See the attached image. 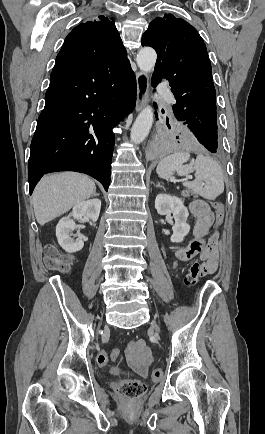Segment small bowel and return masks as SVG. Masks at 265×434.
<instances>
[{"label":"small bowel","instance_id":"1","mask_svg":"<svg viewBox=\"0 0 265 434\" xmlns=\"http://www.w3.org/2000/svg\"><path fill=\"white\" fill-rule=\"evenodd\" d=\"M190 213L195 218L193 225V240L186 246L175 245L173 265L178 267L179 261H188L195 257L204 261L209 267H203L200 277L215 272L218 264L217 239L218 234L212 235L206 240L213 226V213L210 205L202 199L194 200L189 207ZM127 359L130 366L142 377L148 376L147 364L153 359L151 349L143 339H134L127 345Z\"/></svg>","mask_w":265,"mask_h":434}]
</instances>
